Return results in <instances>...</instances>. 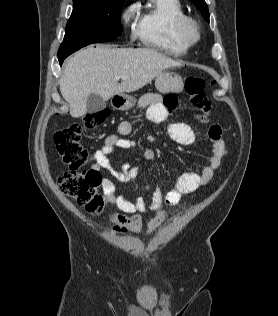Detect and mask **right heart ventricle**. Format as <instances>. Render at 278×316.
Instances as JSON below:
<instances>
[{"label": "right heart ventricle", "mask_w": 278, "mask_h": 316, "mask_svg": "<svg viewBox=\"0 0 278 316\" xmlns=\"http://www.w3.org/2000/svg\"><path fill=\"white\" fill-rule=\"evenodd\" d=\"M186 18L181 0H148L138 12L135 35L143 46L183 56L192 45L181 29Z\"/></svg>", "instance_id": "right-heart-ventricle-1"}]
</instances>
